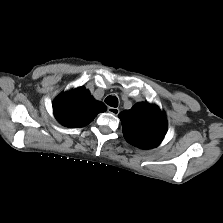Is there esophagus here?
Instances as JSON below:
<instances>
[{
    "instance_id": "34e87169",
    "label": "esophagus",
    "mask_w": 223,
    "mask_h": 223,
    "mask_svg": "<svg viewBox=\"0 0 223 223\" xmlns=\"http://www.w3.org/2000/svg\"><path fill=\"white\" fill-rule=\"evenodd\" d=\"M107 110H108L109 113H111V114H113L115 116H117L119 114V109L116 108V107H108Z\"/></svg>"
}]
</instances>
